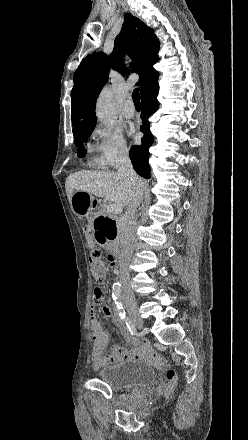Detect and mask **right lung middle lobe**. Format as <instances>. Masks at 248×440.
Listing matches in <instances>:
<instances>
[{
  "label": "right lung middle lobe",
  "mask_w": 248,
  "mask_h": 440,
  "mask_svg": "<svg viewBox=\"0 0 248 440\" xmlns=\"http://www.w3.org/2000/svg\"><path fill=\"white\" fill-rule=\"evenodd\" d=\"M92 131L93 130H89V131H84V132H80V133L74 134V143H75V145L76 146L82 145V143L88 139V137L90 136ZM78 155L79 156L85 155V150H84L83 147H81L78 150Z\"/></svg>",
  "instance_id": "obj_1"
}]
</instances>
